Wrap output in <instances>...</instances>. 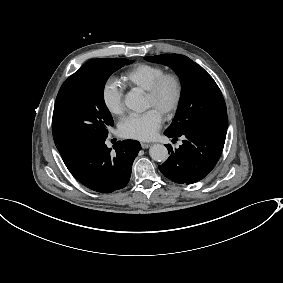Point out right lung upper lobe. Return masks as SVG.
<instances>
[{
  "label": "right lung upper lobe",
  "instance_id": "obj_1",
  "mask_svg": "<svg viewBox=\"0 0 283 283\" xmlns=\"http://www.w3.org/2000/svg\"><path fill=\"white\" fill-rule=\"evenodd\" d=\"M75 152H72V153H69V154H66V155H61L63 159H66L68 157H70L72 154H74Z\"/></svg>",
  "mask_w": 283,
  "mask_h": 283
}]
</instances>
